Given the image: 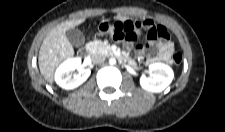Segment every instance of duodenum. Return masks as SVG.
I'll return each instance as SVG.
<instances>
[{
    "label": "duodenum",
    "instance_id": "410a0bca",
    "mask_svg": "<svg viewBox=\"0 0 225 132\" xmlns=\"http://www.w3.org/2000/svg\"><path fill=\"white\" fill-rule=\"evenodd\" d=\"M82 53H83L84 56H86L87 55V50H83Z\"/></svg>",
    "mask_w": 225,
    "mask_h": 132
}]
</instances>
